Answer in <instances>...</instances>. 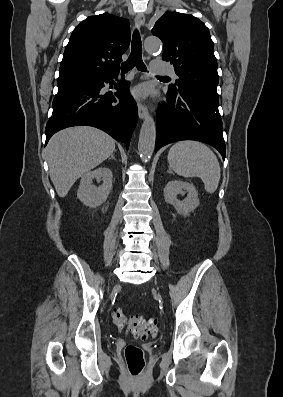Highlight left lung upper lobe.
Returning a JSON list of instances; mask_svg holds the SVG:
<instances>
[{
	"instance_id": "5c2ea615",
	"label": "left lung upper lobe",
	"mask_w": 283,
	"mask_h": 397,
	"mask_svg": "<svg viewBox=\"0 0 283 397\" xmlns=\"http://www.w3.org/2000/svg\"><path fill=\"white\" fill-rule=\"evenodd\" d=\"M153 35L164 44L162 59L179 76L171 90H193L218 98L217 60L209 29L198 18L166 12L155 23Z\"/></svg>"
}]
</instances>
